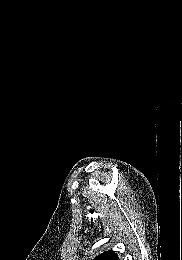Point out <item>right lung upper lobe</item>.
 Returning <instances> with one entry per match:
<instances>
[{
  "label": "right lung upper lobe",
  "instance_id": "obj_1",
  "mask_svg": "<svg viewBox=\"0 0 182 260\" xmlns=\"http://www.w3.org/2000/svg\"><path fill=\"white\" fill-rule=\"evenodd\" d=\"M95 260H118L117 255L114 251H106L102 253L100 256L96 257Z\"/></svg>",
  "mask_w": 182,
  "mask_h": 260
}]
</instances>
